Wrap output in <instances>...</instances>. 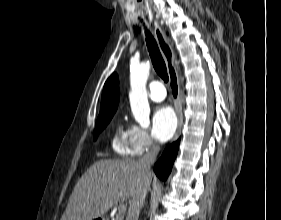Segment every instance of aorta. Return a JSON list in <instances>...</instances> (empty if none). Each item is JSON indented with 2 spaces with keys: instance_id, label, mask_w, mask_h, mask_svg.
Here are the masks:
<instances>
[{
  "instance_id": "aorta-1",
  "label": "aorta",
  "mask_w": 281,
  "mask_h": 220,
  "mask_svg": "<svg viewBox=\"0 0 281 220\" xmlns=\"http://www.w3.org/2000/svg\"><path fill=\"white\" fill-rule=\"evenodd\" d=\"M149 71L150 63L147 61L135 65L130 72V106L135 120L142 127H148L150 124V107L146 89Z\"/></svg>"
}]
</instances>
